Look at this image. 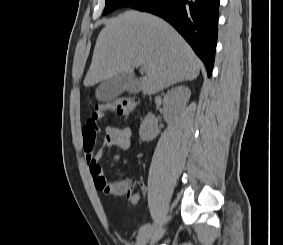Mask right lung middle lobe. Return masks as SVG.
I'll return each instance as SVG.
<instances>
[{"label":"right lung middle lobe","mask_w":283,"mask_h":245,"mask_svg":"<svg viewBox=\"0 0 283 245\" xmlns=\"http://www.w3.org/2000/svg\"><path fill=\"white\" fill-rule=\"evenodd\" d=\"M139 1L140 0H106V6L103 14H108L117 8L132 6Z\"/></svg>","instance_id":"obj_1"}]
</instances>
